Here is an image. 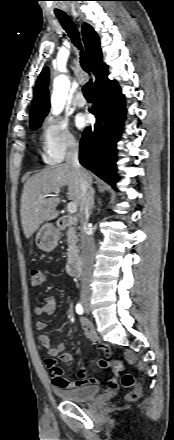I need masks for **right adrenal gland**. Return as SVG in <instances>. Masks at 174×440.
Listing matches in <instances>:
<instances>
[{"label": "right adrenal gland", "instance_id": "1", "mask_svg": "<svg viewBox=\"0 0 174 440\" xmlns=\"http://www.w3.org/2000/svg\"><path fill=\"white\" fill-rule=\"evenodd\" d=\"M94 194H95V191L93 190V192H92V208L94 207Z\"/></svg>", "mask_w": 174, "mask_h": 440}]
</instances>
